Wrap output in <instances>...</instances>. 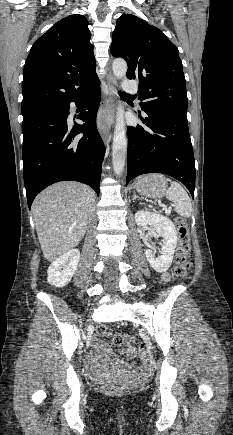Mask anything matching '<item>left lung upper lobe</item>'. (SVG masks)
Listing matches in <instances>:
<instances>
[{"label":"left lung upper lobe","instance_id":"obj_1","mask_svg":"<svg viewBox=\"0 0 233 435\" xmlns=\"http://www.w3.org/2000/svg\"><path fill=\"white\" fill-rule=\"evenodd\" d=\"M111 53L126 60L127 78L139 80L145 113L186 116V83L178 48L161 30L135 15L123 14L112 34Z\"/></svg>","mask_w":233,"mask_h":435}]
</instances>
